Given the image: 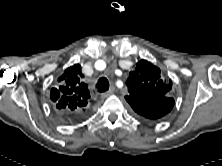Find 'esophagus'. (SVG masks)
<instances>
[{"label":"esophagus","instance_id":"esophagus-1","mask_svg":"<svg viewBox=\"0 0 222 166\" xmlns=\"http://www.w3.org/2000/svg\"><path fill=\"white\" fill-rule=\"evenodd\" d=\"M113 92H114V87L112 86L111 88H110V90H108V91H106V92H103L102 94H101V98H107L108 96H110L111 94H113Z\"/></svg>","mask_w":222,"mask_h":166}]
</instances>
